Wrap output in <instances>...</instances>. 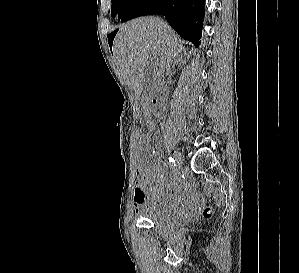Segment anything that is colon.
<instances>
[{
	"label": "colon",
	"instance_id": "colon-1",
	"mask_svg": "<svg viewBox=\"0 0 299 273\" xmlns=\"http://www.w3.org/2000/svg\"><path fill=\"white\" fill-rule=\"evenodd\" d=\"M142 143L145 148L149 147L151 145V140L146 138L144 135H142ZM213 215V209L210 206H207L203 210V216L204 218H210Z\"/></svg>",
	"mask_w": 299,
	"mask_h": 273
}]
</instances>
